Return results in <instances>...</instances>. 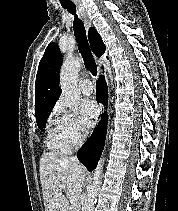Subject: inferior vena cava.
<instances>
[{
	"mask_svg": "<svg viewBox=\"0 0 178 211\" xmlns=\"http://www.w3.org/2000/svg\"><path fill=\"white\" fill-rule=\"evenodd\" d=\"M72 160H76V156L75 157H71Z\"/></svg>",
	"mask_w": 178,
	"mask_h": 211,
	"instance_id": "obj_1",
	"label": "inferior vena cava"
}]
</instances>
